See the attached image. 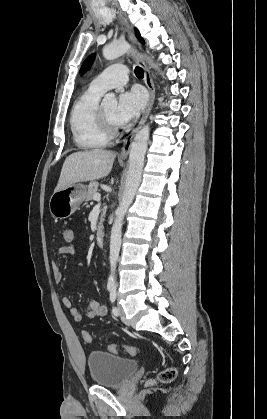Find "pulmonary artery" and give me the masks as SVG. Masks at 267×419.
Listing matches in <instances>:
<instances>
[{"label":"pulmonary artery","mask_w":267,"mask_h":419,"mask_svg":"<svg viewBox=\"0 0 267 419\" xmlns=\"http://www.w3.org/2000/svg\"><path fill=\"white\" fill-rule=\"evenodd\" d=\"M128 81V69L122 64H114L106 68L90 83V87L100 92L124 85Z\"/></svg>","instance_id":"pulmonary-artery-1"}]
</instances>
